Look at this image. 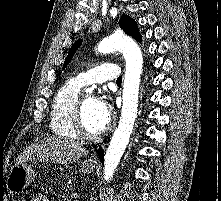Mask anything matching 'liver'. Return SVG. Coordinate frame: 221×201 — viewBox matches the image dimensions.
Masks as SVG:
<instances>
[{
  "mask_svg": "<svg viewBox=\"0 0 221 201\" xmlns=\"http://www.w3.org/2000/svg\"><path fill=\"white\" fill-rule=\"evenodd\" d=\"M88 150L80 143L60 137H47L42 141L29 146L18 156V162L43 161L57 164L74 162L88 154Z\"/></svg>",
  "mask_w": 221,
  "mask_h": 201,
  "instance_id": "1",
  "label": "liver"
}]
</instances>
